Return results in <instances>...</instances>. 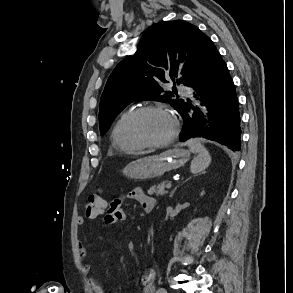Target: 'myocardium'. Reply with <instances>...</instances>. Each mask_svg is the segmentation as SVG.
Listing matches in <instances>:
<instances>
[{
  "label": "myocardium",
  "instance_id": "f54148a6",
  "mask_svg": "<svg viewBox=\"0 0 293 293\" xmlns=\"http://www.w3.org/2000/svg\"><path fill=\"white\" fill-rule=\"evenodd\" d=\"M157 111L164 112L170 117L173 124V129L171 134L164 140H161L158 142H149L140 135L138 130V124L142 116H144L147 113L157 112ZM178 131H179V121L177 117L174 115V113L170 109H168L166 106H163V105H146L136 109L131 115L127 125V132H128L129 138L133 142L141 145L143 148L164 147L170 144L176 138Z\"/></svg>",
  "mask_w": 293,
  "mask_h": 293
}]
</instances>
